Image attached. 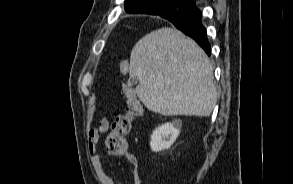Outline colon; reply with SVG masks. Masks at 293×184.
I'll return each instance as SVG.
<instances>
[{
    "label": "colon",
    "mask_w": 293,
    "mask_h": 184,
    "mask_svg": "<svg viewBox=\"0 0 293 184\" xmlns=\"http://www.w3.org/2000/svg\"><path fill=\"white\" fill-rule=\"evenodd\" d=\"M119 70L123 76L128 74L129 63L127 60L120 61ZM123 91L127 99L125 112L116 116L111 125V131L106 141L107 151L113 155L125 154V142L123 136L130 132L133 121L141 116L143 112L133 89L124 83Z\"/></svg>",
    "instance_id": "5ec220e1"
}]
</instances>
